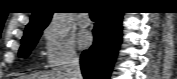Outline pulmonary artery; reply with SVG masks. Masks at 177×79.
<instances>
[{"label": "pulmonary artery", "mask_w": 177, "mask_h": 79, "mask_svg": "<svg viewBox=\"0 0 177 79\" xmlns=\"http://www.w3.org/2000/svg\"><path fill=\"white\" fill-rule=\"evenodd\" d=\"M78 24L82 27L88 26L90 24V20L87 14H80L78 16Z\"/></svg>", "instance_id": "1"}]
</instances>
